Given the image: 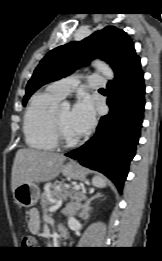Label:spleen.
Segmentation results:
<instances>
[{
  "label": "spleen",
  "instance_id": "1",
  "mask_svg": "<svg viewBox=\"0 0 162 261\" xmlns=\"http://www.w3.org/2000/svg\"><path fill=\"white\" fill-rule=\"evenodd\" d=\"M92 183L95 187L104 188L106 186V181L102 176H95L92 180Z\"/></svg>",
  "mask_w": 162,
  "mask_h": 261
}]
</instances>
